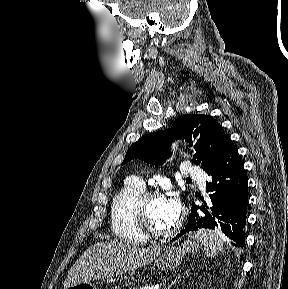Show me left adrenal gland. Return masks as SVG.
Returning a JSON list of instances; mask_svg holds the SVG:
<instances>
[{
	"instance_id": "obj_1",
	"label": "left adrenal gland",
	"mask_w": 288,
	"mask_h": 289,
	"mask_svg": "<svg viewBox=\"0 0 288 289\" xmlns=\"http://www.w3.org/2000/svg\"><path fill=\"white\" fill-rule=\"evenodd\" d=\"M180 279V274H178V275H174V280L171 282V284H169L168 286H167V288H165V289H170L171 288V286L172 285H174L178 280Z\"/></svg>"
}]
</instances>
